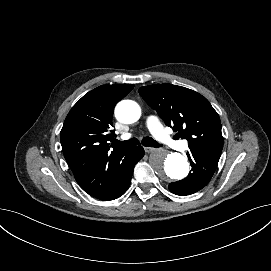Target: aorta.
Wrapping results in <instances>:
<instances>
[{
    "label": "aorta",
    "instance_id": "obj_1",
    "mask_svg": "<svg viewBox=\"0 0 271 271\" xmlns=\"http://www.w3.org/2000/svg\"><path fill=\"white\" fill-rule=\"evenodd\" d=\"M115 116L124 124L136 122L141 116L140 106L132 100H123L115 108ZM149 163L156 174L162 179L180 180L190 170L188 160L180 153L161 150L150 154Z\"/></svg>",
    "mask_w": 271,
    "mask_h": 271
}]
</instances>
